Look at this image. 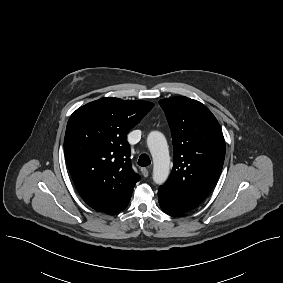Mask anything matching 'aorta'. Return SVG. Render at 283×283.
Masks as SVG:
<instances>
[{
  "label": "aorta",
  "instance_id": "762f6f07",
  "mask_svg": "<svg viewBox=\"0 0 283 283\" xmlns=\"http://www.w3.org/2000/svg\"><path fill=\"white\" fill-rule=\"evenodd\" d=\"M147 144L153 158V180L163 184L169 175L170 156L165 136L158 131H152L147 137Z\"/></svg>",
  "mask_w": 283,
  "mask_h": 283
}]
</instances>
